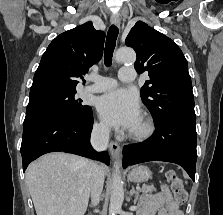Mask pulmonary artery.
Returning a JSON list of instances; mask_svg holds the SVG:
<instances>
[{
	"instance_id": "1",
	"label": "pulmonary artery",
	"mask_w": 223,
	"mask_h": 215,
	"mask_svg": "<svg viewBox=\"0 0 223 215\" xmlns=\"http://www.w3.org/2000/svg\"><path fill=\"white\" fill-rule=\"evenodd\" d=\"M133 65H124V69L118 72V79L123 82H131L134 80L132 73ZM89 80L92 84L86 87L88 92H103L115 88L118 84L117 80L110 77H94L91 76Z\"/></svg>"
}]
</instances>
